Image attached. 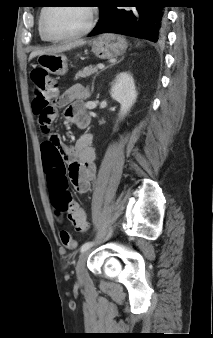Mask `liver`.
Here are the masks:
<instances>
[{"mask_svg": "<svg viewBox=\"0 0 213 338\" xmlns=\"http://www.w3.org/2000/svg\"><path fill=\"white\" fill-rule=\"evenodd\" d=\"M85 43H86V41L80 40V41H75L73 43H68V44H65V45L52 46V47L36 50V51H33L30 54L29 60L33 59L36 56H40V55L57 54V53H61V52H64V51H68V50H71L72 48L84 45Z\"/></svg>", "mask_w": 213, "mask_h": 338, "instance_id": "obj_1", "label": "liver"}]
</instances>
